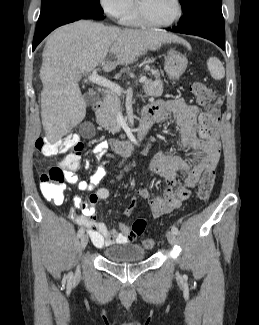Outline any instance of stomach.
I'll return each mask as SVG.
<instances>
[{
    "label": "stomach",
    "instance_id": "obj_1",
    "mask_svg": "<svg viewBox=\"0 0 259 325\" xmlns=\"http://www.w3.org/2000/svg\"><path fill=\"white\" fill-rule=\"evenodd\" d=\"M188 61L184 55L175 49H169L164 69L170 79L177 80L185 72Z\"/></svg>",
    "mask_w": 259,
    "mask_h": 325
}]
</instances>
